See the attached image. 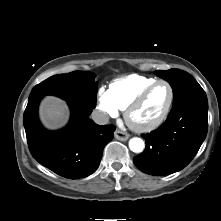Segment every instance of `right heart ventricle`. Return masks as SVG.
<instances>
[{"mask_svg":"<svg viewBox=\"0 0 221 221\" xmlns=\"http://www.w3.org/2000/svg\"><path fill=\"white\" fill-rule=\"evenodd\" d=\"M155 81L156 78L132 74L115 79L108 90L118 109L126 110L138 94Z\"/></svg>","mask_w":221,"mask_h":221,"instance_id":"1","label":"right heart ventricle"}]
</instances>
